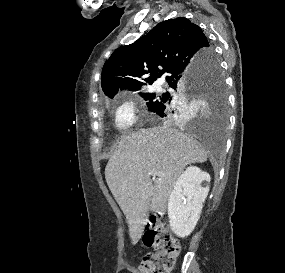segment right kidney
<instances>
[{
	"mask_svg": "<svg viewBox=\"0 0 285 273\" xmlns=\"http://www.w3.org/2000/svg\"><path fill=\"white\" fill-rule=\"evenodd\" d=\"M210 175L196 166L188 167L177 179L168 199L172 231L181 238L194 230L209 192Z\"/></svg>",
	"mask_w": 285,
	"mask_h": 273,
	"instance_id": "right-kidney-1",
	"label": "right kidney"
}]
</instances>
